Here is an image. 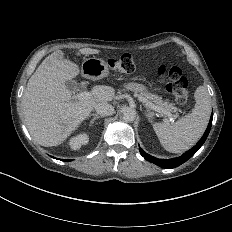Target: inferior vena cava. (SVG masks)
Returning a JSON list of instances; mask_svg holds the SVG:
<instances>
[{
  "mask_svg": "<svg viewBox=\"0 0 232 232\" xmlns=\"http://www.w3.org/2000/svg\"><path fill=\"white\" fill-rule=\"evenodd\" d=\"M95 110L100 116H106V117L112 116L114 113L113 106L106 103L96 104Z\"/></svg>",
  "mask_w": 232,
  "mask_h": 232,
  "instance_id": "1",
  "label": "inferior vena cava"
}]
</instances>
